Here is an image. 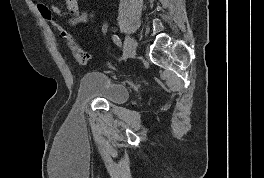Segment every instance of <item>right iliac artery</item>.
<instances>
[{"mask_svg": "<svg viewBox=\"0 0 264 178\" xmlns=\"http://www.w3.org/2000/svg\"><path fill=\"white\" fill-rule=\"evenodd\" d=\"M113 41H114V43H115L117 46H119V47L122 46L121 40L119 39V37H118L117 35H114V36H113Z\"/></svg>", "mask_w": 264, "mask_h": 178, "instance_id": "1", "label": "right iliac artery"}]
</instances>
